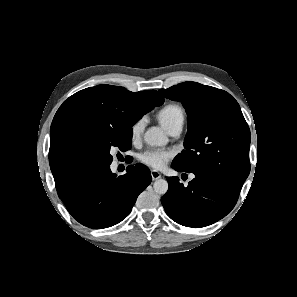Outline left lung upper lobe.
Here are the masks:
<instances>
[{"mask_svg":"<svg viewBox=\"0 0 297 297\" xmlns=\"http://www.w3.org/2000/svg\"><path fill=\"white\" fill-rule=\"evenodd\" d=\"M159 91L166 98L182 102L187 112L185 149L172 164L241 190L250 172V130L233 96L196 82Z\"/></svg>","mask_w":297,"mask_h":297,"instance_id":"obj_1","label":"left lung upper lobe"}]
</instances>
